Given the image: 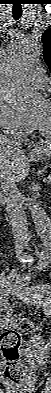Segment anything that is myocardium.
<instances>
[{
  "label": "myocardium",
  "mask_w": 51,
  "mask_h": 393,
  "mask_svg": "<svg viewBox=\"0 0 51 393\" xmlns=\"http://www.w3.org/2000/svg\"><path fill=\"white\" fill-rule=\"evenodd\" d=\"M46 101L51 104V97L48 98ZM35 124L38 127V129L43 137H50L51 136V131H48L47 129H45L39 121L35 120Z\"/></svg>",
  "instance_id": "f54148a6"
}]
</instances>
